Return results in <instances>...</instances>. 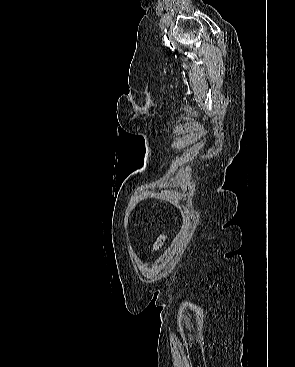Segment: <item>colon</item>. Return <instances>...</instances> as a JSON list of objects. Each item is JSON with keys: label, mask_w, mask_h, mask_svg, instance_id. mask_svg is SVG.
Listing matches in <instances>:
<instances>
[{"label": "colon", "mask_w": 295, "mask_h": 367, "mask_svg": "<svg viewBox=\"0 0 295 367\" xmlns=\"http://www.w3.org/2000/svg\"><path fill=\"white\" fill-rule=\"evenodd\" d=\"M164 241H165V236L160 235L158 239L156 240V242L154 243V249H159L163 245Z\"/></svg>", "instance_id": "obj_1"}]
</instances>
